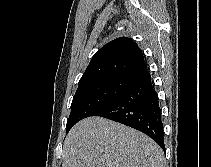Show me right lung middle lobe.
<instances>
[{
    "mask_svg": "<svg viewBox=\"0 0 211 167\" xmlns=\"http://www.w3.org/2000/svg\"><path fill=\"white\" fill-rule=\"evenodd\" d=\"M131 85L129 78H102L78 85L73 97L67 132L83 118L93 116Z\"/></svg>",
    "mask_w": 211,
    "mask_h": 167,
    "instance_id": "right-lung-middle-lobe-1",
    "label": "right lung middle lobe"
}]
</instances>
